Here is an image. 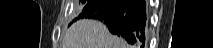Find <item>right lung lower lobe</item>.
Wrapping results in <instances>:
<instances>
[{"mask_svg": "<svg viewBox=\"0 0 213 48\" xmlns=\"http://www.w3.org/2000/svg\"><path fill=\"white\" fill-rule=\"evenodd\" d=\"M79 18H94L104 22L112 34L143 47L146 22L143 0H90Z\"/></svg>", "mask_w": 213, "mask_h": 48, "instance_id": "98d812e1", "label": "right lung lower lobe"}]
</instances>
